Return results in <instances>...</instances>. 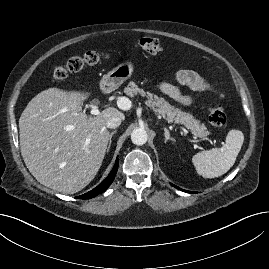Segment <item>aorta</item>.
I'll return each mask as SVG.
<instances>
[{
	"label": "aorta",
	"instance_id": "obj_1",
	"mask_svg": "<svg viewBox=\"0 0 269 269\" xmlns=\"http://www.w3.org/2000/svg\"><path fill=\"white\" fill-rule=\"evenodd\" d=\"M148 134L144 128H136L131 133V141L135 145H144L147 142Z\"/></svg>",
	"mask_w": 269,
	"mask_h": 269
}]
</instances>
